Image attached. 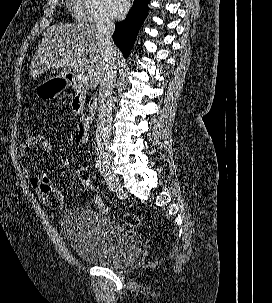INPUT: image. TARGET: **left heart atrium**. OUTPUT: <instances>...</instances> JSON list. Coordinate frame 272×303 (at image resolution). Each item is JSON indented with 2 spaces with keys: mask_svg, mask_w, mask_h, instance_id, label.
I'll return each instance as SVG.
<instances>
[{
  "mask_svg": "<svg viewBox=\"0 0 272 303\" xmlns=\"http://www.w3.org/2000/svg\"><path fill=\"white\" fill-rule=\"evenodd\" d=\"M130 7L128 0H112L111 9L115 17L121 18L126 15Z\"/></svg>",
  "mask_w": 272,
  "mask_h": 303,
  "instance_id": "obj_1",
  "label": "left heart atrium"
}]
</instances>
